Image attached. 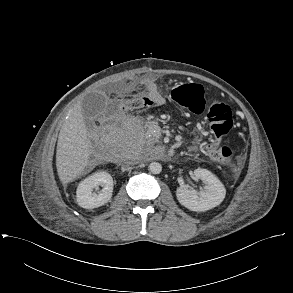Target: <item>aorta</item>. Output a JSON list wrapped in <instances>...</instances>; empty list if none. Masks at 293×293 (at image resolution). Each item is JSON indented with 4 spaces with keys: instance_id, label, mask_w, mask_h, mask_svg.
Here are the masks:
<instances>
[{
    "instance_id": "1",
    "label": "aorta",
    "mask_w": 293,
    "mask_h": 293,
    "mask_svg": "<svg viewBox=\"0 0 293 293\" xmlns=\"http://www.w3.org/2000/svg\"><path fill=\"white\" fill-rule=\"evenodd\" d=\"M149 171L153 174H159L162 171V165L158 162H152L149 165Z\"/></svg>"
}]
</instances>
